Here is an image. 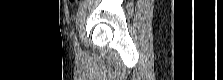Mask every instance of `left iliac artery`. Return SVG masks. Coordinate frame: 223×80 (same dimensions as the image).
<instances>
[{
    "instance_id": "obj_1",
    "label": "left iliac artery",
    "mask_w": 223,
    "mask_h": 80,
    "mask_svg": "<svg viewBox=\"0 0 223 80\" xmlns=\"http://www.w3.org/2000/svg\"><path fill=\"white\" fill-rule=\"evenodd\" d=\"M74 46H75V49L78 51L79 50V44H78L76 36H74Z\"/></svg>"
}]
</instances>
